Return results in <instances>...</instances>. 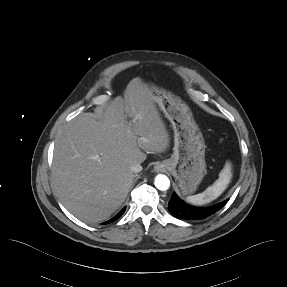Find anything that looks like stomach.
<instances>
[{
  "instance_id": "0dacf381",
  "label": "stomach",
  "mask_w": 287,
  "mask_h": 287,
  "mask_svg": "<svg viewBox=\"0 0 287 287\" xmlns=\"http://www.w3.org/2000/svg\"><path fill=\"white\" fill-rule=\"evenodd\" d=\"M174 131L173 154L162 163L174 176L183 195L193 194L206 173L205 142L189 106L179 97L144 82Z\"/></svg>"
}]
</instances>
